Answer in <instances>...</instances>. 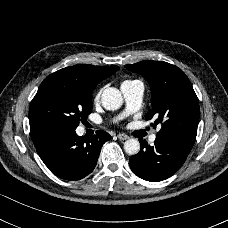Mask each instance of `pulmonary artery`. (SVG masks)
Instances as JSON below:
<instances>
[{"label":"pulmonary artery","instance_id":"1","mask_svg":"<svg viewBox=\"0 0 228 228\" xmlns=\"http://www.w3.org/2000/svg\"><path fill=\"white\" fill-rule=\"evenodd\" d=\"M121 91L126 102L125 115L139 108L144 94V84L140 80L124 81L121 84ZM157 133L149 136V142L153 144L156 140Z\"/></svg>","mask_w":228,"mask_h":228}]
</instances>
